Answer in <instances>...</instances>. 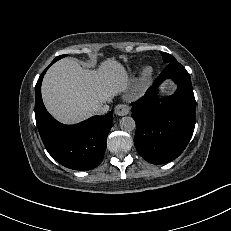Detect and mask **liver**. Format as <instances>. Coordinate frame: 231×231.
Segmentation results:
<instances>
[{"mask_svg": "<svg viewBox=\"0 0 231 231\" xmlns=\"http://www.w3.org/2000/svg\"><path fill=\"white\" fill-rule=\"evenodd\" d=\"M128 84L125 68L115 59L103 61L97 70H88L73 58H64L45 74L42 98L55 119L75 124L91 117L95 106L109 103L125 92Z\"/></svg>", "mask_w": 231, "mask_h": 231, "instance_id": "6515ba94", "label": "liver"}]
</instances>
